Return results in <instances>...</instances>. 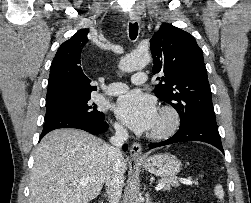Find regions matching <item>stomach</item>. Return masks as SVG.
I'll use <instances>...</instances> for the list:
<instances>
[{
  "mask_svg": "<svg viewBox=\"0 0 251 203\" xmlns=\"http://www.w3.org/2000/svg\"><path fill=\"white\" fill-rule=\"evenodd\" d=\"M148 172L165 178L177 175L181 168V161L173 154H156L138 162Z\"/></svg>",
  "mask_w": 251,
  "mask_h": 203,
  "instance_id": "stomach-1",
  "label": "stomach"
}]
</instances>
